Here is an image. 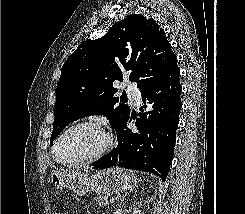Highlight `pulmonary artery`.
<instances>
[{"label":"pulmonary artery","mask_w":245,"mask_h":214,"mask_svg":"<svg viewBox=\"0 0 245 214\" xmlns=\"http://www.w3.org/2000/svg\"><path fill=\"white\" fill-rule=\"evenodd\" d=\"M128 97L134 104L138 105L141 103V95L139 90L135 86H130L128 89Z\"/></svg>","instance_id":"1"}]
</instances>
